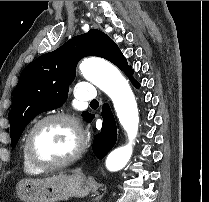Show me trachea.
Segmentation results:
<instances>
[{
  "instance_id": "1",
  "label": "trachea",
  "mask_w": 209,
  "mask_h": 202,
  "mask_svg": "<svg viewBox=\"0 0 209 202\" xmlns=\"http://www.w3.org/2000/svg\"><path fill=\"white\" fill-rule=\"evenodd\" d=\"M90 104H98V101L97 100H93L90 102Z\"/></svg>"
}]
</instances>
